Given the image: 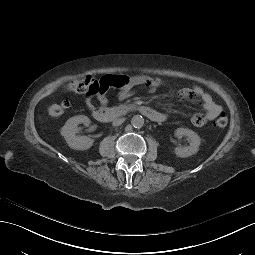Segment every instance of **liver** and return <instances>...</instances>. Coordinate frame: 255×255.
Instances as JSON below:
<instances>
[{
    "instance_id": "1",
    "label": "liver",
    "mask_w": 255,
    "mask_h": 255,
    "mask_svg": "<svg viewBox=\"0 0 255 255\" xmlns=\"http://www.w3.org/2000/svg\"><path fill=\"white\" fill-rule=\"evenodd\" d=\"M39 120H40L41 123H43V120H42V117H41V116H39Z\"/></svg>"
}]
</instances>
